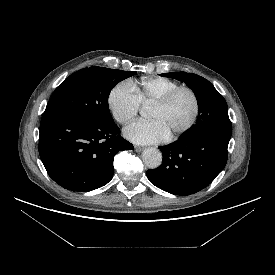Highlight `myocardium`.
<instances>
[{
	"label": "myocardium",
	"instance_id": "f54148a6",
	"mask_svg": "<svg viewBox=\"0 0 275 275\" xmlns=\"http://www.w3.org/2000/svg\"><path fill=\"white\" fill-rule=\"evenodd\" d=\"M181 92H187L192 97L193 105H194L193 114L190 120L188 121V123L184 127H182L181 129H179L178 131L170 135L171 139L179 138L183 134L187 133L190 129H192L193 126L196 124L200 113L199 98L196 92L191 87L179 86L171 90L170 92H168L165 96H163L161 99H159L154 103V106H157L159 108H166L172 103L175 97Z\"/></svg>",
	"mask_w": 275,
	"mask_h": 275
}]
</instances>
